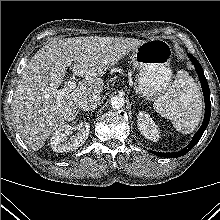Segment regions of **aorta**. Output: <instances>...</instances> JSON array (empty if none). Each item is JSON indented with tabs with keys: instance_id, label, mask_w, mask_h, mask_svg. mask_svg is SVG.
Returning <instances> with one entry per match:
<instances>
[{
	"instance_id": "1",
	"label": "aorta",
	"mask_w": 220,
	"mask_h": 220,
	"mask_svg": "<svg viewBox=\"0 0 220 220\" xmlns=\"http://www.w3.org/2000/svg\"><path fill=\"white\" fill-rule=\"evenodd\" d=\"M125 104L124 98L121 96H113L110 99V105L113 109H121Z\"/></svg>"
}]
</instances>
